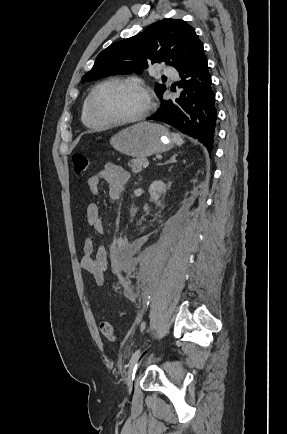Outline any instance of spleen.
Listing matches in <instances>:
<instances>
[{"mask_svg":"<svg viewBox=\"0 0 287 434\" xmlns=\"http://www.w3.org/2000/svg\"><path fill=\"white\" fill-rule=\"evenodd\" d=\"M175 142L177 143V145L181 146L182 144H184V140L182 139L181 135L177 134V133H173L172 134Z\"/></svg>","mask_w":287,"mask_h":434,"instance_id":"1","label":"spleen"}]
</instances>
